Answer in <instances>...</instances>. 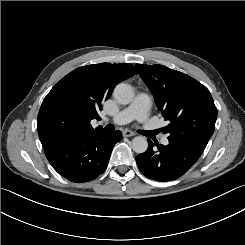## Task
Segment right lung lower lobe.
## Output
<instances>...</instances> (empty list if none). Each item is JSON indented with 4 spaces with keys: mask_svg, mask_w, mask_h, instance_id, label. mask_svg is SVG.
<instances>
[{
    "mask_svg": "<svg viewBox=\"0 0 245 245\" xmlns=\"http://www.w3.org/2000/svg\"><path fill=\"white\" fill-rule=\"evenodd\" d=\"M121 139L120 131L95 130L58 140L44 148L45 155L64 178L77 183L87 182L106 170L111 151Z\"/></svg>",
    "mask_w": 245,
    "mask_h": 245,
    "instance_id": "obj_1",
    "label": "right lung lower lobe"
}]
</instances>
